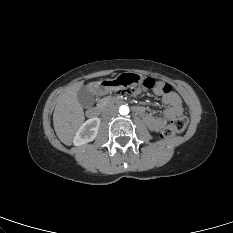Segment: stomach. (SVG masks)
Listing matches in <instances>:
<instances>
[{
	"label": "stomach",
	"instance_id": "1",
	"mask_svg": "<svg viewBox=\"0 0 233 233\" xmlns=\"http://www.w3.org/2000/svg\"><path fill=\"white\" fill-rule=\"evenodd\" d=\"M142 78L129 72H122L115 77H108L104 81L95 83L97 94L117 93L124 94L128 89H137L141 85Z\"/></svg>",
	"mask_w": 233,
	"mask_h": 233
}]
</instances>
